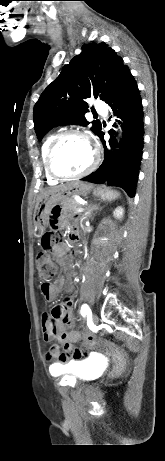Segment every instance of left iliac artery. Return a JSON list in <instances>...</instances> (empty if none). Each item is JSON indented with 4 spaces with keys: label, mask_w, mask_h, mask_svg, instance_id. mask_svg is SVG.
Wrapping results in <instances>:
<instances>
[{
    "label": "left iliac artery",
    "mask_w": 165,
    "mask_h": 461,
    "mask_svg": "<svg viewBox=\"0 0 165 461\" xmlns=\"http://www.w3.org/2000/svg\"><path fill=\"white\" fill-rule=\"evenodd\" d=\"M86 313H91V311H90L89 307H88L86 304H84V305H82V307H81V314H82L83 316H85Z\"/></svg>",
    "instance_id": "obj_1"
}]
</instances>
